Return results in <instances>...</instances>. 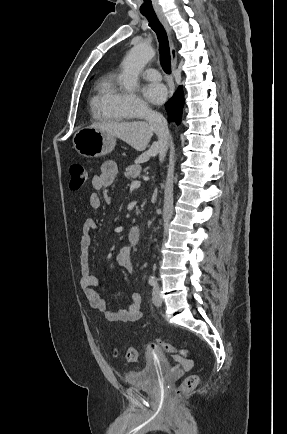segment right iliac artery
<instances>
[{
    "instance_id": "1",
    "label": "right iliac artery",
    "mask_w": 287,
    "mask_h": 434,
    "mask_svg": "<svg viewBox=\"0 0 287 434\" xmlns=\"http://www.w3.org/2000/svg\"><path fill=\"white\" fill-rule=\"evenodd\" d=\"M148 282H149V284H150L151 286H155L156 283H157V281H156V279H155L154 276H150Z\"/></svg>"
}]
</instances>
